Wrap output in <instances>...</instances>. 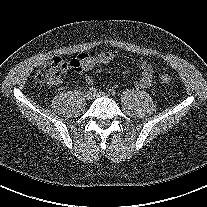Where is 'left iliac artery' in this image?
Wrapping results in <instances>:
<instances>
[{"label": "left iliac artery", "instance_id": "44dca946", "mask_svg": "<svg viewBox=\"0 0 207 207\" xmlns=\"http://www.w3.org/2000/svg\"><path fill=\"white\" fill-rule=\"evenodd\" d=\"M108 93H109V95L114 96L116 94V91L114 89H109Z\"/></svg>", "mask_w": 207, "mask_h": 207}]
</instances>
